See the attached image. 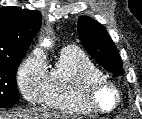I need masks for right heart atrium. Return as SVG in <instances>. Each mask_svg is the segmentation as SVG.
I'll return each mask as SVG.
<instances>
[{"label": "right heart atrium", "instance_id": "1", "mask_svg": "<svg viewBox=\"0 0 142 119\" xmlns=\"http://www.w3.org/2000/svg\"><path fill=\"white\" fill-rule=\"evenodd\" d=\"M47 72L45 57L38 51L29 54L19 66L16 74L17 88L29 104L42 102Z\"/></svg>", "mask_w": 142, "mask_h": 119}]
</instances>
